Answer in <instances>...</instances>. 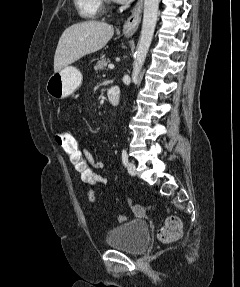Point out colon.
Segmentation results:
<instances>
[{"label": "colon", "instance_id": "1", "mask_svg": "<svg viewBox=\"0 0 240 287\" xmlns=\"http://www.w3.org/2000/svg\"><path fill=\"white\" fill-rule=\"evenodd\" d=\"M55 141L82 182L91 185L99 183L96 170L87 160L83 149L79 146L78 141L72 133L64 130L59 131L55 135ZM88 197L90 202L94 201L92 191L89 192ZM142 213V210L138 211V214ZM125 219V216L122 215L117 217L119 222H124ZM181 235L182 223L179 218L174 216L168 217L164 225L157 232L158 240L165 244L179 240Z\"/></svg>", "mask_w": 240, "mask_h": 287}]
</instances>
